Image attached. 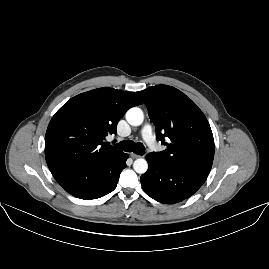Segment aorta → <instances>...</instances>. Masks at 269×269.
I'll use <instances>...</instances> for the list:
<instances>
[{"label":"aorta","instance_id":"aorta-1","mask_svg":"<svg viewBox=\"0 0 269 269\" xmlns=\"http://www.w3.org/2000/svg\"><path fill=\"white\" fill-rule=\"evenodd\" d=\"M126 120L132 126H139L143 123L144 114L143 111L138 107L130 108L126 112ZM134 170L139 174H144L148 169V163L145 159H136L133 163Z\"/></svg>","mask_w":269,"mask_h":269}]
</instances>
